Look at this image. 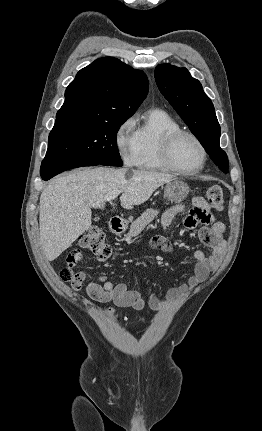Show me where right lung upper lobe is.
<instances>
[{"mask_svg":"<svg viewBox=\"0 0 262 431\" xmlns=\"http://www.w3.org/2000/svg\"><path fill=\"white\" fill-rule=\"evenodd\" d=\"M148 79L117 58L104 57L81 69L65 91L55 125L78 120L128 119L144 101Z\"/></svg>","mask_w":262,"mask_h":431,"instance_id":"cb5924a9","label":"right lung upper lobe"}]
</instances>
